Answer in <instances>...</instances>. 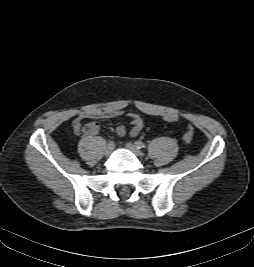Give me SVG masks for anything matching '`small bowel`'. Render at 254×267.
I'll use <instances>...</instances> for the list:
<instances>
[{
	"instance_id": "1",
	"label": "small bowel",
	"mask_w": 254,
	"mask_h": 267,
	"mask_svg": "<svg viewBox=\"0 0 254 267\" xmlns=\"http://www.w3.org/2000/svg\"><path fill=\"white\" fill-rule=\"evenodd\" d=\"M123 114L120 110L115 109H93L80 112L73 120V129L76 134H84L86 136H94L99 132V126L96 122H90L83 126L82 122L85 119H106L121 116ZM131 121V128L129 134L131 137H136L143 128V120L137 114H129ZM116 133L119 136H124L127 133L125 125H119L116 128Z\"/></svg>"
}]
</instances>
